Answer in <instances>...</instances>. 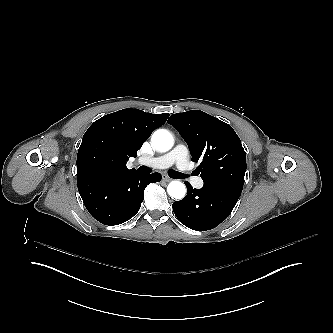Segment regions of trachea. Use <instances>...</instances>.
<instances>
[{"mask_svg":"<svg viewBox=\"0 0 333 333\" xmlns=\"http://www.w3.org/2000/svg\"><path fill=\"white\" fill-rule=\"evenodd\" d=\"M140 171L144 172V173H150V169L148 167H145V166H142L139 168ZM168 175L171 177V178H182L183 177V174L180 173V172H177V171H174V170H168Z\"/></svg>","mask_w":333,"mask_h":333,"instance_id":"trachea-1","label":"trachea"}]
</instances>
